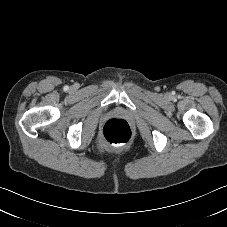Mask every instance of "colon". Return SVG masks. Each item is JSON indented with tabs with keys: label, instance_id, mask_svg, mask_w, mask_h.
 I'll use <instances>...</instances> for the list:
<instances>
[{
	"label": "colon",
	"instance_id": "obj_1",
	"mask_svg": "<svg viewBox=\"0 0 227 227\" xmlns=\"http://www.w3.org/2000/svg\"><path fill=\"white\" fill-rule=\"evenodd\" d=\"M101 136L108 143H126L131 139L132 132L126 121L111 119L104 124Z\"/></svg>",
	"mask_w": 227,
	"mask_h": 227
}]
</instances>
